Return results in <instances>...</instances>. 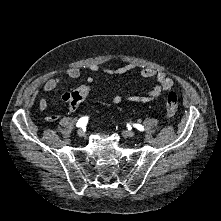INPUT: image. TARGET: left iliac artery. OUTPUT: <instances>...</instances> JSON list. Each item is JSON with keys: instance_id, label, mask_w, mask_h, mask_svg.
<instances>
[{"instance_id": "obj_1", "label": "left iliac artery", "mask_w": 221, "mask_h": 221, "mask_svg": "<svg viewBox=\"0 0 221 221\" xmlns=\"http://www.w3.org/2000/svg\"><path fill=\"white\" fill-rule=\"evenodd\" d=\"M135 128H137L140 131L144 130V127L142 125H140V124H135Z\"/></svg>"}]
</instances>
